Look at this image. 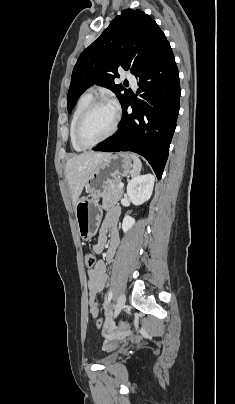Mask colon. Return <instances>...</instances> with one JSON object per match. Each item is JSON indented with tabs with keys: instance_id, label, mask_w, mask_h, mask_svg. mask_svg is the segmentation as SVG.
<instances>
[{
	"instance_id": "obj_1",
	"label": "colon",
	"mask_w": 235,
	"mask_h": 404,
	"mask_svg": "<svg viewBox=\"0 0 235 404\" xmlns=\"http://www.w3.org/2000/svg\"><path fill=\"white\" fill-rule=\"evenodd\" d=\"M97 263V259L94 255L92 254H87L85 256V264L88 268H93ZM96 325L98 328H104L106 326V323L104 321V319L102 318H98L96 320Z\"/></svg>"
}]
</instances>
